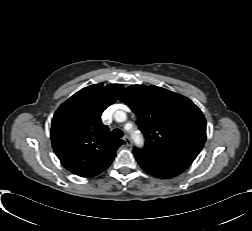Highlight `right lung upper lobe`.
Listing matches in <instances>:
<instances>
[{"label": "right lung upper lobe", "instance_id": "right-lung-upper-lobe-1", "mask_svg": "<svg viewBox=\"0 0 252 231\" xmlns=\"http://www.w3.org/2000/svg\"><path fill=\"white\" fill-rule=\"evenodd\" d=\"M123 86L94 84L83 88L64 102L51 125L53 149L61 164L81 177H93L112 163L123 140L110 137L101 122V113L113 104Z\"/></svg>", "mask_w": 252, "mask_h": 231}]
</instances>
